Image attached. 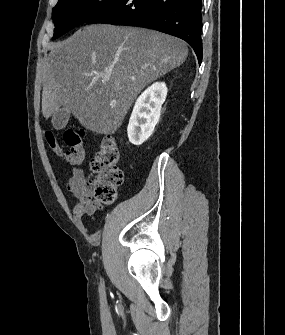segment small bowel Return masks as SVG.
Here are the masks:
<instances>
[{
    "label": "small bowel",
    "instance_id": "obj_1",
    "mask_svg": "<svg viewBox=\"0 0 285 335\" xmlns=\"http://www.w3.org/2000/svg\"><path fill=\"white\" fill-rule=\"evenodd\" d=\"M68 191L75 197L76 203L73 207V216L76 223L83 227V218L92 216L103 209L102 203L93 199L88 180L81 169H74L68 181Z\"/></svg>",
    "mask_w": 285,
    "mask_h": 335
}]
</instances>
